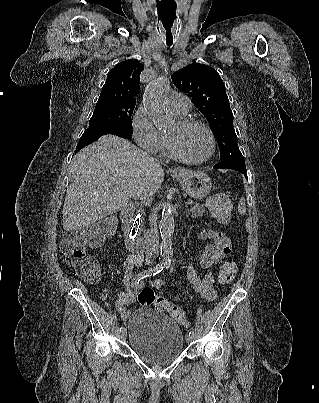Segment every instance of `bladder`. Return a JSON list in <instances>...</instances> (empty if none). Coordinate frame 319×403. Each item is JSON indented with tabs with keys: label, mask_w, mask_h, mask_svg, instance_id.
<instances>
[{
	"label": "bladder",
	"mask_w": 319,
	"mask_h": 403,
	"mask_svg": "<svg viewBox=\"0 0 319 403\" xmlns=\"http://www.w3.org/2000/svg\"><path fill=\"white\" fill-rule=\"evenodd\" d=\"M131 350L143 361L164 366L184 351V334L174 319L150 308L135 310L127 319Z\"/></svg>",
	"instance_id": "bladder-1"
}]
</instances>
